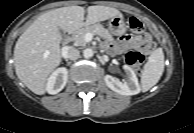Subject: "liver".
I'll use <instances>...</instances> for the list:
<instances>
[{
	"instance_id": "liver-1",
	"label": "liver",
	"mask_w": 194,
	"mask_h": 133,
	"mask_svg": "<svg viewBox=\"0 0 194 133\" xmlns=\"http://www.w3.org/2000/svg\"><path fill=\"white\" fill-rule=\"evenodd\" d=\"M85 9L68 6L50 10L40 15L19 37L14 48L16 75L33 93L43 95L50 74L61 62V35L84 26L108 20L122 13L107 6H89Z\"/></svg>"
}]
</instances>
